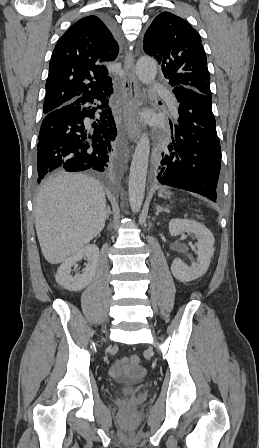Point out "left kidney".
<instances>
[{
    "mask_svg": "<svg viewBox=\"0 0 259 448\" xmlns=\"http://www.w3.org/2000/svg\"><path fill=\"white\" fill-rule=\"evenodd\" d=\"M169 232L171 236H179V234H195L198 242L196 244L198 250L197 262H193L191 266H186L184 262H181L180 258L173 260L171 266V272L179 282H192V280H197L206 274L211 258L214 254V236L211 234L210 230L199 224V222H193V220H179V218H174L169 222Z\"/></svg>",
    "mask_w": 259,
    "mask_h": 448,
    "instance_id": "left-kidney-1",
    "label": "left kidney"
}]
</instances>
